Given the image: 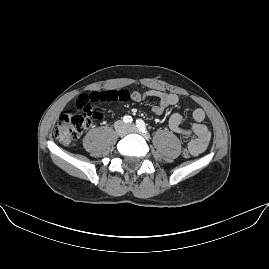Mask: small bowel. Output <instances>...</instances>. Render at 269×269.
<instances>
[{
    "mask_svg": "<svg viewBox=\"0 0 269 269\" xmlns=\"http://www.w3.org/2000/svg\"><path fill=\"white\" fill-rule=\"evenodd\" d=\"M130 98L140 102L147 98H153L157 101L152 107V112L156 115H161L169 106H174L179 103V96L175 93H168L159 90H149L144 93L135 91L131 93ZM192 117L194 120L191 128L182 127L183 115L181 112H174L168 119L169 128L183 137L194 136L188 143V149L192 156L197 157L207 149L211 133L209 128L203 123L205 113L202 109L197 108L193 111Z\"/></svg>",
    "mask_w": 269,
    "mask_h": 269,
    "instance_id": "obj_1",
    "label": "small bowel"
}]
</instances>
